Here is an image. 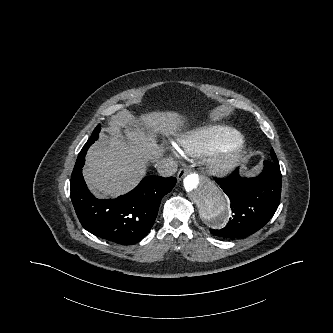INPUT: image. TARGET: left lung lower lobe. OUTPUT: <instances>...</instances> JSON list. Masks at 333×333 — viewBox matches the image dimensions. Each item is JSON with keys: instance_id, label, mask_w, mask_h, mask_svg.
<instances>
[{"instance_id": "0a47b994", "label": "left lung lower lobe", "mask_w": 333, "mask_h": 333, "mask_svg": "<svg viewBox=\"0 0 333 333\" xmlns=\"http://www.w3.org/2000/svg\"><path fill=\"white\" fill-rule=\"evenodd\" d=\"M215 181L229 197L234 213L226 227L210 229L216 236L241 238L253 234L272 218L280 203L282 176L278 161H264L258 177L242 178L236 169Z\"/></svg>"}]
</instances>
